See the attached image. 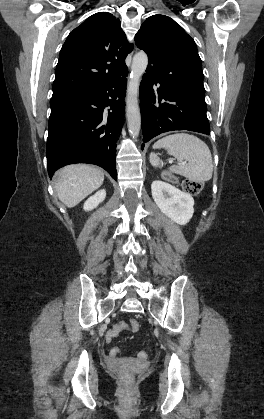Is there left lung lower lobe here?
I'll return each mask as SVG.
<instances>
[{
    "label": "left lung lower lobe",
    "instance_id": "obj_1",
    "mask_svg": "<svg viewBox=\"0 0 264 419\" xmlns=\"http://www.w3.org/2000/svg\"><path fill=\"white\" fill-rule=\"evenodd\" d=\"M157 85V89H153ZM203 83L187 87L179 80H165L146 69L140 84L143 142L167 131L188 130L209 135ZM144 144H142V148Z\"/></svg>",
    "mask_w": 264,
    "mask_h": 419
}]
</instances>
